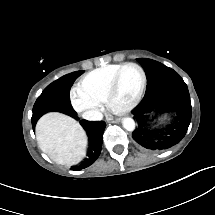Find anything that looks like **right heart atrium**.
<instances>
[{
	"label": "right heart atrium",
	"instance_id": "right-heart-atrium-1",
	"mask_svg": "<svg viewBox=\"0 0 215 215\" xmlns=\"http://www.w3.org/2000/svg\"><path fill=\"white\" fill-rule=\"evenodd\" d=\"M71 103L76 112L85 119H96L99 116V111L85 97L73 92Z\"/></svg>",
	"mask_w": 215,
	"mask_h": 215
}]
</instances>
